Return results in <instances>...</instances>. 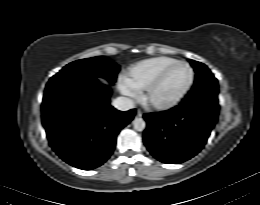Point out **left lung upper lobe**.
<instances>
[{"mask_svg": "<svg viewBox=\"0 0 260 205\" xmlns=\"http://www.w3.org/2000/svg\"><path fill=\"white\" fill-rule=\"evenodd\" d=\"M196 71L195 84L184 101L206 102L215 107L218 105V82L211 71L203 63L189 60Z\"/></svg>", "mask_w": 260, "mask_h": 205, "instance_id": "left-lung-upper-lobe-1", "label": "left lung upper lobe"}]
</instances>
